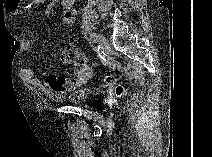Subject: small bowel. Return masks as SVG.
<instances>
[{
	"instance_id": "small-bowel-1",
	"label": "small bowel",
	"mask_w": 212,
	"mask_h": 157,
	"mask_svg": "<svg viewBox=\"0 0 212 157\" xmlns=\"http://www.w3.org/2000/svg\"><path fill=\"white\" fill-rule=\"evenodd\" d=\"M63 11V22L65 24H71L76 16L75 1L74 0H63L61 2ZM24 8L21 0H6L5 9L13 16H16ZM32 43L26 41L24 43V50L28 51L31 49ZM24 78L31 85L45 90L47 94L52 97H61L62 95L74 91L80 88L85 81H79L74 77H66L60 75H49L43 82L38 76V72L33 68H25L22 71ZM91 76L90 70H88V78ZM87 78V79H88Z\"/></svg>"
}]
</instances>
